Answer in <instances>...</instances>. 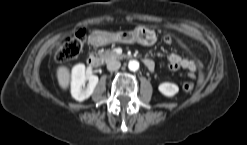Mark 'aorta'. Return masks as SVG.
Instances as JSON below:
<instances>
[{
	"label": "aorta",
	"instance_id": "762f6f07",
	"mask_svg": "<svg viewBox=\"0 0 247 145\" xmlns=\"http://www.w3.org/2000/svg\"><path fill=\"white\" fill-rule=\"evenodd\" d=\"M128 68H129V70H131V71H136V70H138V68H139V62L136 61V60H131V61H129V63H128Z\"/></svg>",
	"mask_w": 247,
	"mask_h": 145
}]
</instances>
